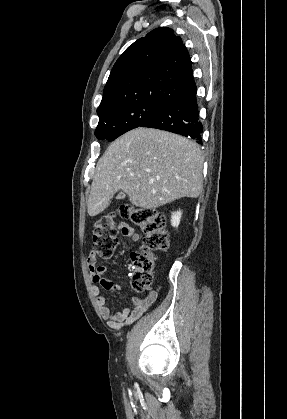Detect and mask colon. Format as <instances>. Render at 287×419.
Masks as SVG:
<instances>
[{
    "instance_id": "5ec220e1",
    "label": "colon",
    "mask_w": 287,
    "mask_h": 419,
    "mask_svg": "<svg viewBox=\"0 0 287 419\" xmlns=\"http://www.w3.org/2000/svg\"><path fill=\"white\" fill-rule=\"evenodd\" d=\"M119 214L134 223L144 233V244L140 251L131 253L134 268L132 287L136 292L146 291L152 284L156 251L165 250L169 246V239L165 231V215L152 208H139L123 205ZM116 213L108 212L101 215L93 228L92 250L100 258H111L118 244V226L115 221Z\"/></svg>"
}]
</instances>
